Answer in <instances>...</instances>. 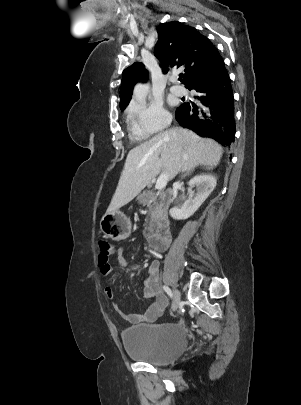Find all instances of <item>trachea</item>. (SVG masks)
Returning a JSON list of instances; mask_svg holds the SVG:
<instances>
[{"mask_svg":"<svg viewBox=\"0 0 301 405\" xmlns=\"http://www.w3.org/2000/svg\"><path fill=\"white\" fill-rule=\"evenodd\" d=\"M182 80V77H179V81H181Z\"/></svg>","mask_w":301,"mask_h":405,"instance_id":"1","label":"trachea"}]
</instances>
